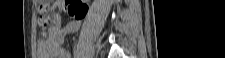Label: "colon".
Instances as JSON below:
<instances>
[{
    "instance_id": "5ec220e1",
    "label": "colon",
    "mask_w": 225,
    "mask_h": 58,
    "mask_svg": "<svg viewBox=\"0 0 225 58\" xmlns=\"http://www.w3.org/2000/svg\"><path fill=\"white\" fill-rule=\"evenodd\" d=\"M68 3V14L75 20H80L84 18L87 12V6L83 1L74 0V1H67ZM48 1H40L39 6V21L46 22L48 20L47 13H48Z\"/></svg>"
}]
</instances>
